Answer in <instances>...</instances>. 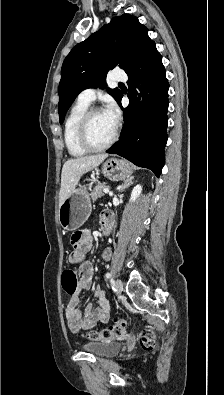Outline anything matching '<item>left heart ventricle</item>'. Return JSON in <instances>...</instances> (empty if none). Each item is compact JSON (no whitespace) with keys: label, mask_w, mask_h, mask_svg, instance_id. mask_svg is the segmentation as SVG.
<instances>
[{"label":"left heart ventricle","mask_w":224,"mask_h":395,"mask_svg":"<svg viewBox=\"0 0 224 395\" xmlns=\"http://www.w3.org/2000/svg\"><path fill=\"white\" fill-rule=\"evenodd\" d=\"M114 129L115 124L103 112L96 113L89 122V138L93 144L103 145L111 138Z\"/></svg>","instance_id":"1"}]
</instances>
